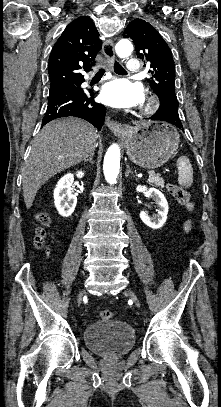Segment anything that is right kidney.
<instances>
[{"label":"right kidney","instance_id":"ca27d5eb","mask_svg":"<svg viewBox=\"0 0 221 407\" xmlns=\"http://www.w3.org/2000/svg\"><path fill=\"white\" fill-rule=\"evenodd\" d=\"M76 176L82 178L84 172L78 171ZM73 182L74 174L68 173L58 181L54 189V204L58 213L63 217H69L77 204V197L72 193Z\"/></svg>","mask_w":221,"mask_h":407}]
</instances>
